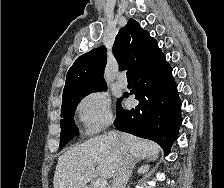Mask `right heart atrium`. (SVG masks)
Instances as JSON below:
<instances>
[{"label":"right heart atrium","mask_w":224,"mask_h":188,"mask_svg":"<svg viewBox=\"0 0 224 188\" xmlns=\"http://www.w3.org/2000/svg\"><path fill=\"white\" fill-rule=\"evenodd\" d=\"M78 115L87 134L99 133L113 122L109 97L99 91L87 94L78 104Z\"/></svg>","instance_id":"d8ad5b80"}]
</instances>
